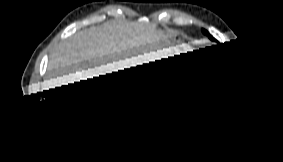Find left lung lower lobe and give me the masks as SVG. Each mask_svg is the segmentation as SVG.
Returning a JSON list of instances; mask_svg holds the SVG:
<instances>
[{"instance_id": "1", "label": "left lung lower lobe", "mask_w": 283, "mask_h": 162, "mask_svg": "<svg viewBox=\"0 0 283 162\" xmlns=\"http://www.w3.org/2000/svg\"><path fill=\"white\" fill-rule=\"evenodd\" d=\"M215 40L212 36H208ZM228 53V52H223ZM221 55L217 47L211 48V55ZM237 59L227 58L226 62L210 66L208 71L212 80L218 81L223 87L216 90L212 100L199 103L194 107H186L173 103L167 95L166 85L160 80L152 82V88L145 92L150 94L157 110L159 122L169 129L184 131L186 135L204 136L217 131L229 111L233 98L232 95L238 83L239 65ZM223 65V66H222ZM143 91V90H142ZM219 101H216V100Z\"/></svg>"}]
</instances>
